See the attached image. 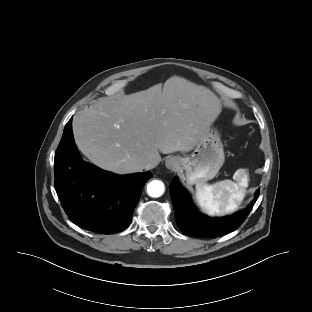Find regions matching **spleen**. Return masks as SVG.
Returning <instances> with one entry per match:
<instances>
[{"instance_id":"spleen-1","label":"spleen","mask_w":312,"mask_h":312,"mask_svg":"<svg viewBox=\"0 0 312 312\" xmlns=\"http://www.w3.org/2000/svg\"><path fill=\"white\" fill-rule=\"evenodd\" d=\"M232 180H223L212 185L197 184L196 199L209 215H224L235 211L242 203L248 178L245 169H238Z\"/></svg>"}]
</instances>
